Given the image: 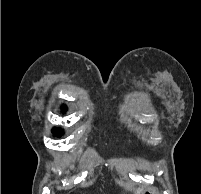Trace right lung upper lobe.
<instances>
[{
    "mask_svg": "<svg viewBox=\"0 0 201 194\" xmlns=\"http://www.w3.org/2000/svg\"><path fill=\"white\" fill-rule=\"evenodd\" d=\"M62 109H63L64 111H66V110H67V108H66L65 106H63V107H62Z\"/></svg>",
    "mask_w": 201,
    "mask_h": 194,
    "instance_id": "right-lung-upper-lobe-1",
    "label": "right lung upper lobe"
}]
</instances>
